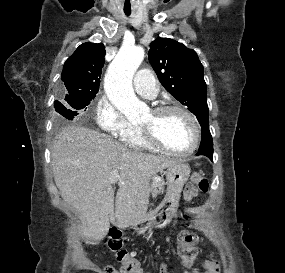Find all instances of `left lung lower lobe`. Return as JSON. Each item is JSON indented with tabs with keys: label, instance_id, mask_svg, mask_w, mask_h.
I'll use <instances>...</instances> for the list:
<instances>
[{
	"label": "left lung lower lobe",
	"instance_id": "left-lung-lower-lobe-1",
	"mask_svg": "<svg viewBox=\"0 0 285 273\" xmlns=\"http://www.w3.org/2000/svg\"><path fill=\"white\" fill-rule=\"evenodd\" d=\"M202 139L199 147V151L196 155H205L211 160L213 158V141L209 131V125L202 127Z\"/></svg>",
	"mask_w": 285,
	"mask_h": 273
}]
</instances>
